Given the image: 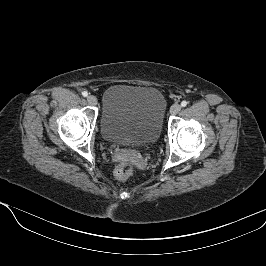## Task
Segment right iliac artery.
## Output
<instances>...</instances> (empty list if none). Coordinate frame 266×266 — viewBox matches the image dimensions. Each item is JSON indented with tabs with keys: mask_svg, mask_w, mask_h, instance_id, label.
<instances>
[{
	"mask_svg": "<svg viewBox=\"0 0 266 266\" xmlns=\"http://www.w3.org/2000/svg\"><path fill=\"white\" fill-rule=\"evenodd\" d=\"M82 95H83L84 97H87V96H88L87 91H83V92H82Z\"/></svg>",
	"mask_w": 266,
	"mask_h": 266,
	"instance_id": "1",
	"label": "right iliac artery"
}]
</instances>
